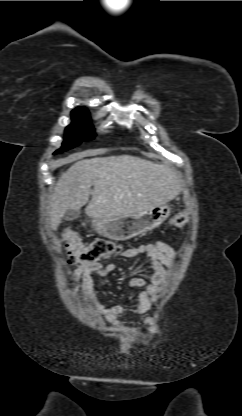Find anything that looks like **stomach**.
<instances>
[{
    "instance_id": "stomach-1",
    "label": "stomach",
    "mask_w": 242,
    "mask_h": 416,
    "mask_svg": "<svg viewBox=\"0 0 242 416\" xmlns=\"http://www.w3.org/2000/svg\"><path fill=\"white\" fill-rule=\"evenodd\" d=\"M171 213L167 204L158 205L142 213L112 218H93L91 226L99 235L124 241L159 227Z\"/></svg>"
}]
</instances>
